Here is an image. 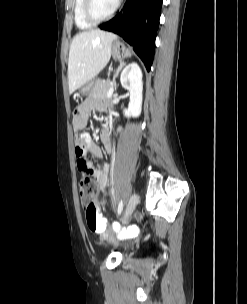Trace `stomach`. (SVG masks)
Wrapping results in <instances>:
<instances>
[{
    "label": "stomach",
    "mask_w": 247,
    "mask_h": 304,
    "mask_svg": "<svg viewBox=\"0 0 247 304\" xmlns=\"http://www.w3.org/2000/svg\"><path fill=\"white\" fill-rule=\"evenodd\" d=\"M131 55L130 50L122 43L116 41L112 46V56L115 60H122ZM89 87L83 88L80 93L85 95L88 93Z\"/></svg>",
    "instance_id": "obj_1"
}]
</instances>
